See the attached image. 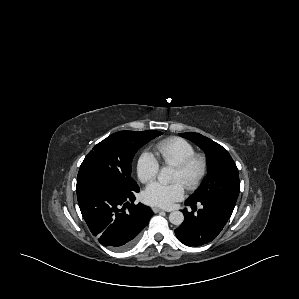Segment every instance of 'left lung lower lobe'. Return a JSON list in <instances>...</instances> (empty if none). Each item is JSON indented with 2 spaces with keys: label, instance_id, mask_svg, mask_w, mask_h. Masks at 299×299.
Segmentation results:
<instances>
[{
  "label": "left lung lower lobe",
  "instance_id": "left-lung-lower-lobe-1",
  "mask_svg": "<svg viewBox=\"0 0 299 299\" xmlns=\"http://www.w3.org/2000/svg\"><path fill=\"white\" fill-rule=\"evenodd\" d=\"M202 209L196 214L184 209L185 220L175 234L179 241L187 246H201L211 242L222 231L223 227L231 217L232 209L217 201L200 202ZM196 204L190 200L185 202L186 206L196 208Z\"/></svg>",
  "mask_w": 299,
  "mask_h": 299
}]
</instances>
